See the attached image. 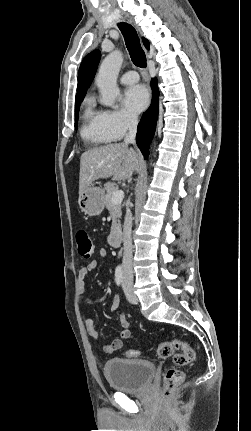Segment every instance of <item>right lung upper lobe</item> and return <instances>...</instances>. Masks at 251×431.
Instances as JSON below:
<instances>
[{"label": "right lung upper lobe", "instance_id": "obj_1", "mask_svg": "<svg viewBox=\"0 0 251 431\" xmlns=\"http://www.w3.org/2000/svg\"><path fill=\"white\" fill-rule=\"evenodd\" d=\"M142 41L144 46L149 49V41L144 37ZM100 57V51L94 50L83 59L78 72L76 100L84 99L87 88H89L94 79Z\"/></svg>", "mask_w": 251, "mask_h": 431}]
</instances>
